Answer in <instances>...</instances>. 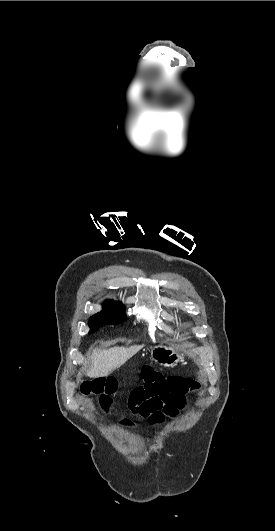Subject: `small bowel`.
Returning a JSON list of instances; mask_svg holds the SVG:
<instances>
[{"label":"small bowel","instance_id":"obj_1","mask_svg":"<svg viewBox=\"0 0 275 531\" xmlns=\"http://www.w3.org/2000/svg\"><path fill=\"white\" fill-rule=\"evenodd\" d=\"M140 370L141 381L144 385L137 389L130 398L129 407L132 417L124 418L120 422V426L125 429L136 430L135 421L139 420H147L153 429L163 428L168 420L178 419L181 411L186 409L184 397L189 394L199 396L203 389L201 384L192 383L191 373L164 374L162 368L151 367L148 363L142 364ZM162 379L164 383H161ZM117 384L116 375L105 377L106 394L100 397L104 413H109L112 409L113 397L118 393Z\"/></svg>","mask_w":275,"mask_h":531}]
</instances>
